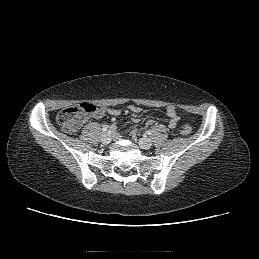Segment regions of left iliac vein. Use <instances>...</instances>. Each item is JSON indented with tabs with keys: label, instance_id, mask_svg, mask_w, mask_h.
Wrapping results in <instances>:
<instances>
[{
	"label": "left iliac vein",
	"instance_id": "left-iliac-vein-1",
	"mask_svg": "<svg viewBox=\"0 0 259 259\" xmlns=\"http://www.w3.org/2000/svg\"><path fill=\"white\" fill-rule=\"evenodd\" d=\"M139 145L143 149H149L152 146V140L149 138H141L139 139Z\"/></svg>",
	"mask_w": 259,
	"mask_h": 259
}]
</instances>
